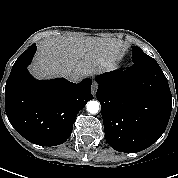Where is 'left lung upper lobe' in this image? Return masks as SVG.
<instances>
[{"label":"left lung upper lobe","instance_id":"obj_1","mask_svg":"<svg viewBox=\"0 0 178 178\" xmlns=\"http://www.w3.org/2000/svg\"><path fill=\"white\" fill-rule=\"evenodd\" d=\"M151 58L152 57L145 54L141 48H139L137 46H132V61H133V63L142 61V60L151 59Z\"/></svg>","mask_w":178,"mask_h":178}]
</instances>
